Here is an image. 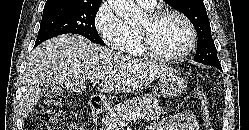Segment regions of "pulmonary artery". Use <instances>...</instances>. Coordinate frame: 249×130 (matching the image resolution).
Masks as SVG:
<instances>
[{"mask_svg": "<svg viewBox=\"0 0 249 130\" xmlns=\"http://www.w3.org/2000/svg\"><path fill=\"white\" fill-rule=\"evenodd\" d=\"M140 5H144L147 7H155L156 5V0H136Z\"/></svg>", "mask_w": 249, "mask_h": 130, "instance_id": "e3ab8cb5", "label": "pulmonary artery"}]
</instances>
